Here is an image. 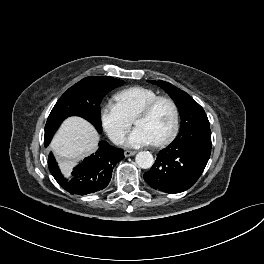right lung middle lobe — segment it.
<instances>
[{"label":"right lung middle lobe","instance_id":"right-lung-middle-lobe-1","mask_svg":"<svg viewBox=\"0 0 264 264\" xmlns=\"http://www.w3.org/2000/svg\"><path fill=\"white\" fill-rule=\"evenodd\" d=\"M125 82L111 77H86L70 87L57 101L45 126L44 144L47 146L64 119L69 116H80L90 121L102 131L100 103L112 89Z\"/></svg>","mask_w":264,"mask_h":264}]
</instances>
